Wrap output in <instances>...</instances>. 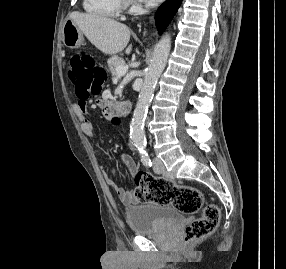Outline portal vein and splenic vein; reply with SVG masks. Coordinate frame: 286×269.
I'll return each mask as SVG.
<instances>
[{"mask_svg": "<svg viewBox=\"0 0 286 269\" xmlns=\"http://www.w3.org/2000/svg\"><path fill=\"white\" fill-rule=\"evenodd\" d=\"M128 71V68L126 67H118L117 68V75L116 77L114 78V80H117L118 78L124 76Z\"/></svg>", "mask_w": 286, "mask_h": 269, "instance_id": "portal-vein-and-splenic-vein-1", "label": "portal vein and splenic vein"}]
</instances>
